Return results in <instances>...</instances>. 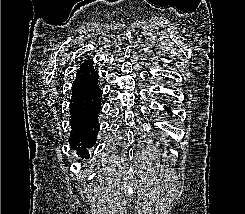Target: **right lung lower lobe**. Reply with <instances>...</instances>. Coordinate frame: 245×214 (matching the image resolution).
I'll use <instances>...</instances> for the list:
<instances>
[{
    "mask_svg": "<svg viewBox=\"0 0 245 214\" xmlns=\"http://www.w3.org/2000/svg\"><path fill=\"white\" fill-rule=\"evenodd\" d=\"M98 77L83 80L78 70L77 78L72 86L69 106L72 133L69 143L82 158L89 157L87 148L95 144L100 129L98 114L101 109L102 91L97 85Z\"/></svg>",
    "mask_w": 245,
    "mask_h": 214,
    "instance_id": "1",
    "label": "right lung lower lobe"
}]
</instances>
